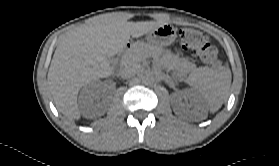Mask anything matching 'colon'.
Instances as JSON below:
<instances>
[{"mask_svg":"<svg viewBox=\"0 0 279 166\" xmlns=\"http://www.w3.org/2000/svg\"><path fill=\"white\" fill-rule=\"evenodd\" d=\"M179 37L183 47L198 60L214 69H222L217 49L210 43L204 33L192 28H183L179 31Z\"/></svg>","mask_w":279,"mask_h":166,"instance_id":"obj_1","label":"colon"}]
</instances>
